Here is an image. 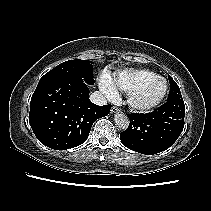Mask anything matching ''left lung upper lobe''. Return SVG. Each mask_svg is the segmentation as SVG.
<instances>
[{
  "instance_id": "5c2ea615",
  "label": "left lung upper lobe",
  "mask_w": 211,
  "mask_h": 211,
  "mask_svg": "<svg viewBox=\"0 0 211 211\" xmlns=\"http://www.w3.org/2000/svg\"><path fill=\"white\" fill-rule=\"evenodd\" d=\"M169 82H170V91L168 95V100H174V99H179L182 98L180 89L176 82L172 79L171 76H168Z\"/></svg>"
}]
</instances>
